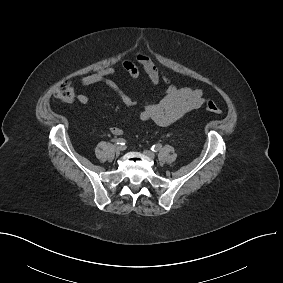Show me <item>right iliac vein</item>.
Listing matches in <instances>:
<instances>
[{
  "label": "right iliac vein",
  "instance_id": "1",
  "mask_svg": "<svg viewBox=\"0 0 283 283\" xmlns=\"http://www.w3.org/2000/svg\"><path fill=\"white\" fill-rule=\"evenodd\" d=\"M113 149H114V151L118 154V153H120V151H121L122 148H121L120 145H114Z\"/></svg>",
  "mask_w": 283,
  "mask_h": 283
}]
</instances>
